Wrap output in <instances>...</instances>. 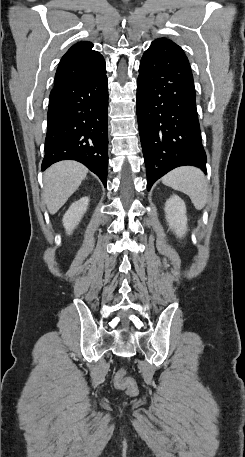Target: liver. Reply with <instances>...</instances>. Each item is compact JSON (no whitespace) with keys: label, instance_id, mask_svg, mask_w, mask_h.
I'll return each instance as SVG.
<instances>
[{"label":"liver","instance_id":"obj_1","mask_svg":"<svg viewBox=\"0 0 245 457\" xmlns=\"http://www.w3.org/2000/svg\"><path fill=\"white\" fill-rule=\"evenodd\" d=\"M88 168L76 160H61L47 168L44 174L42 198L50 214H55L80 186Z\"/></svg>","mask_w":245,"mask_h":457}]
</instances>
